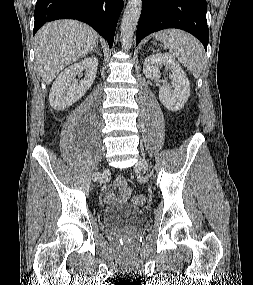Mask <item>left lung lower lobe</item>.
Segmentation results:
<instances>
[{"instance_id":"1","label":"left lung lower lobe","mask_w":253,"mask_h":285,"mask_svg":"<svg viewBox=\"0 0 253 285\" xmlns=\"http://www.w3.org/2000/svg\"><path fill=\"white\" fill-rule=\"evenodd\" d=\"M136 45L150 33L178 28L198 38L205 49L209 42L206 0H142Z\"/></svg>"}]
</instances>
